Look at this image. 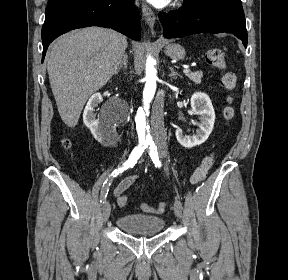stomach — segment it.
Returning a JSON list of instances; mask_svg holds the SVG:
<instances>
[{
    "mask_svg": "<svg viewBox=\"0 0 288 280\" xmlns=\"http://www.w3.org/2000/svg\"><path fill=\"white\" fill-rule=\"evenodd\" d=\"M164 51L168 57L175 60H182L186 55L185 49L181 45L175 43H168L165 46Z\"/></svg>",
    "mask_w": 288,
    "mask_h": 280,
    "instance_id": "1",
    "label": "stomach"
}]
</instances>
